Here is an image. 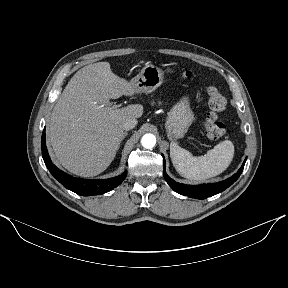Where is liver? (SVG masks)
Returning <instances> with one entry per match:
<instances>
[{
    "instance_id": "obj_1",
    "label": "liver",
    "mask_w": 288,
    "mask_h": 288,
    "mask_svg": "<svg viewBox=\"0 0 288 288\" xmlns=\"http://www.w3.org/2000/svg\"><path fill=\"white\" fill-rule=\"evenodd\" d=\"M135 93L108 62L77 71L56 103L48 128L49 142L61 165L83 177L106 170L118 150L124 122L143 114L141 105L113 109L109 100Z\"/></svg>"
}]
</instances>
